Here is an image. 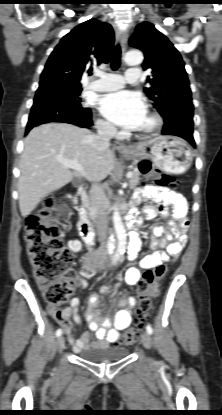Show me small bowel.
<instances>
[{"mask_svg": "<svg viewBox=\"0 0 222 415\" xmlns=\"http://www.w3.org/2000/svg\"><path fill=\"white\" fill-rule=\"evenodd\" d=\"M147 199H153L159 202V206L157 208L152 206L146 207L144 210L146 218L151 219L157 215L170 217L177 221L179 228L173 227L170 232H167L164 226L157 225L151 229L149 246L153 252L140 260L139 266L141 269L155 268L170 258L177 259L188 241L186 235V229L189 226V220L187 218L188 205L184 197L163 186L146 185L138 190L136 200L140 202ZM169 205L173 207L172 211L168 209ZM131 217L134 220H139L136 213H133ZM68 247L70 250L77 252L82 248V243L79 240H70ZM140 248L141 240L134 237L129 248L130 260L137 258ZM78 275L80 279L76 282L77 286L82 289L86 288L87 283L83 280L87 275L86 272L80 270ZM140 276V269L132 267L127 270L125 281L128 285L135 286L138 284ZM108 291L109 287L106 285H102L99 288V294H105ZM99 294L90 296L85 317L78 313V298H72L70 306L64 309L54 306L48 307L50 316L64 327L69 342L76 353L89 348L107 347L110 344L117 343L120 333L130 325L131 309L136 305L135 297L126 294L119 301L118 305L120 309L115 314L114 322L111 323L109 319L101 318L98 315L97 308L100 306ZM71 318H73L77 325L82 324L84 320L89 325V330L85 331L77 340L74 339L71 332Z\"/></svg>", "mask_w": 222, "mask_h": 415, "instance_id": "small-bowel-1", "label": "small bowel"}]
</instances>
